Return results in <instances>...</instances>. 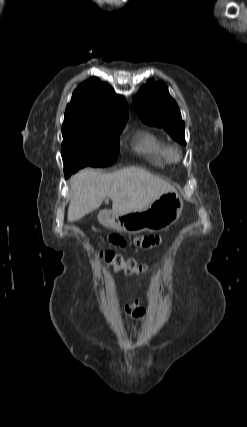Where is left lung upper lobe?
Here are the masks:
<instances>
[{
  "label": "left lung upper lobe",
  "instance_id": "left-lung-upper-lobe-1",
  "mask_svg": "<svg viewBox=\"0 0 247 427\" xmlns=\"http://www.w3.org/2000/svg\"><path fill=\"white\" fill-rule=\"evenodd\" d=\"M133 101L136 112L144 123L163 127L177 142L186 144L185 123L181 119L178 105L169 95L165 84L149 80L141 87Z\"/></svg>",
  "mask_w": 247,
  "mask_h": 427
}]
</instances>
